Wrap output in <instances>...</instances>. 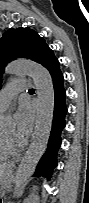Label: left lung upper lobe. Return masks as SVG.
I'll return each mask as SVG.
<instances>
[{
    "instance_id": "1",
    "label": "left lung upper lobe",
    "mask_w": 89,
    "mask_h": 203,
    "mask_svg": "<svg viewBox=\"0 0 89 203\" xmlns=\"http://www.w3.org/2000/svg\"><path fill=\"white\" fill-rule=\"evenodd\" d=\"M46 47L45 40L28 27L5 32L0 38V78L12 59L28 58L39 63Z\"/></svg>"
}]
</instances>
